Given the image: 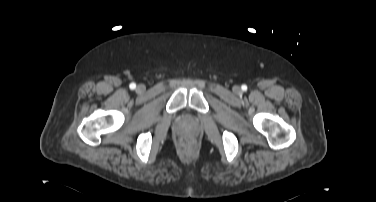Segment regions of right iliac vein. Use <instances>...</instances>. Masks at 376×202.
I'll return each mask as SVG.
<instances>
[{
  "instance_id": "right-iliac-vein-1",
  "label": "right iliac vein",
  "mask_w": 376,
  "mask_h": 202,
  "mask_svg": "<svg viewBox=\"0 0 376 202\" xmlns=\"http://www.w3.org/2000/svg\"><path fill=\"white\" fill-rule=\"evenodd\" d=\"M145 90V86L144 85H138L137 86V91L138 92H143Z\"/></svg>"
}]
</instances>
